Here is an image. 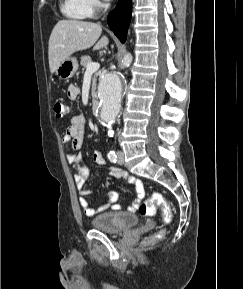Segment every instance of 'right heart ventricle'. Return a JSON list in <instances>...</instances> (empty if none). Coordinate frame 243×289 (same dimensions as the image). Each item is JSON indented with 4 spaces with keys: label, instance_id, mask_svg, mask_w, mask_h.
<instances>
[{
    "label": "right heart ventricle",
    "instance_id": "e07e8e85",
    "mask_svg": "<svg viewBox=\"0 0 243 289\" xmlns=\"http://www.w3.org/2000/svg\"><path fill=\"white\" fill-rule=\"evenodd\" d=\"M60 9L66 17L76 20H83L91 15L84 0H62Z\"/></svg>",
    "mask_w": 243,
    "mask_h": 289
}]
</instances>
